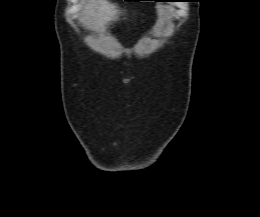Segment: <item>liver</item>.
<instances>
[{
	"label": "liver",
	"mask_w": 260,
	"mask_h": 217,
	"mask_svg": "<svg viewBox=\"0 0 260 217\" xmlns=\"http://www.w3.org/2000/svg\"><path fill=\"white\" fill-rule=\"evenodd\" d=\"M120 10L106 0H92L82 13L81 22L93 31L105 29V26L119 18Z\"/></svg>",
	"instance_id": "6515ba94"
}]
</instances>
